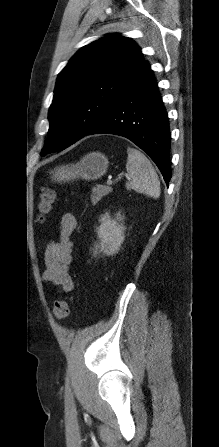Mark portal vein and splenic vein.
<instances>
[{
	"instance_id": "portal-vein-and-splenic-vein-1",
	"label": "portal vein and splenic vein",
	"mask_w": 219,
	"mask_h": 447,
	"mask_svg": "<svg viewBox=\"0 0 219 447\" xmlns=\"http://www.w3.org/2000/svg\"><path fill=\"white\" fill-rule=\"evenodd\" d=\"M125 176H126V178H129L128 175H125ZM121 177H122V176H118L117 181L120 180ZM107 184H108V185H112V184H113L112 179H108V180H107Z\"/></svg>"
}]
</instances>
